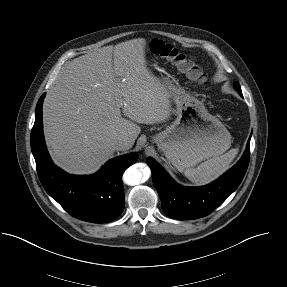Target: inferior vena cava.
I'll return each mask as SVG.
<instances>
[{
  "mask_svg": "<svg viewBox=\"0 0 287 287\" xmlns=\"http://www.w3.org/2000/svg\"><path fill=\"white\" fill-rule=\"evenodd\" d=\"M128 144L126 137H116L112 140L111 145L115 150H122Z\"/></svg>",
  "mask_w": 287,
  "mask_h": 287,
  "instance_id": "602c4592",
  "label": "inferior vena cava"
}]
</instances>
